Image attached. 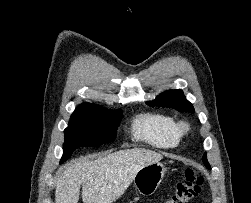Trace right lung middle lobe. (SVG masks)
<instances>
[{"label": "right lung middle lobe", "mask_w": 251, "mask_h": 203, "mask_svg": "<svg viewBox=\"0 0 251 203\" xmlns=\"http://www.w3.org/2000/svg\"><path fill=\"white\" fill-rule=\"evenodd\" d=\"M122 119V112L111 111L97 105L78 107L64 130L63 161L79 147H94L113 142Z\"/></svg>", "instance_id": "dd1d6c3e"}]
</instances>
